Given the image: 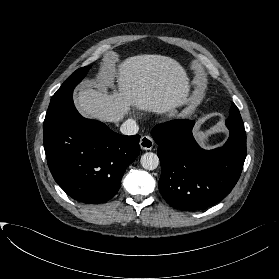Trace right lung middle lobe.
I'll return each mask as SVG.
<instances>
[{
  "label": "right lung middle lobe",
  "mask_w": 279,
  "mask_h": 279,
  "mask_svg": "<svg viewBox=\"0 0 279 279\" xmlns=\"http://www.w3.org/2000/svg\"><path fill=\"white\" fill-rule=\"evenodd\" d=\"M91 66H85L73 72L53 95L46 117L49 118L72 100L75 86L86 76Z\"/></svg>",
  "instance_id": "dd1d6c3e"
}]
</instances>
